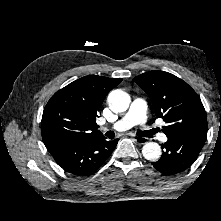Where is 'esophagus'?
<instances>
[{"label":"esophagus","mask_w":221,"mask_h":221,"mask_svg":"<svg viewBox=\"0 0 221 221\" xmlns=\"http://www.w3.org/2000/svg\"><path fill=\"white\" fill-rule=\"evenodd\" d=\"M133 140L140 145L147 143L148 139L145 137H134Z\"/></svg>","instance_id":"34e87169"}]
</instances>
